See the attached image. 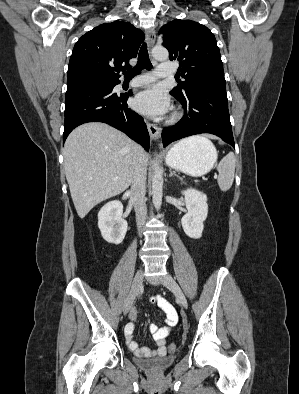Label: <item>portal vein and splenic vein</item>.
<instances>
[{
	"mask_svg": "<svg viewBox=\"0 0 299 394\" xmlns=\"http://www.w3.org/2000/svg\"><path fill=\"white\" fill-rule=\"evenodd\" d=\"M214 178H217V175H214ZM115 179H118V177H115Z\"/></svg>",
	"mask_w": 299,
	"mask_h": 394,
	"instance_id": "obj_1",
	"label": "portal vein and splenic vein"
}]
</instances>
